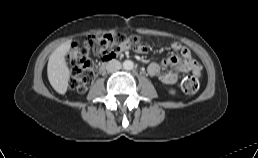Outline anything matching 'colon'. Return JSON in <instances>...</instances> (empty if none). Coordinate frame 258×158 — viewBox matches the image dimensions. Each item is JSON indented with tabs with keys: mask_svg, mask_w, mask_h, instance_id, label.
Returning a JSON list of instances; mask_svg holds the SVG:
<instances>
[{
	"mask_svg": "<svg viewBox=\"0 0 258 158\" xmlns=\"http://www.w3.org/2000/svg\"><path fill=\"white\" fill-rule=\"evenodd\" d=\"M139 44L138 36H127L121 33L89 35L83 45L74 44L66 56L72 69L71 88L79 93H84L92 83L94 63L89 55L90 51L104 60L114 57L122 49L136 48ZM199 86L200 83L196 76H188L181 81V88L187 94L196 93Z\"/></svg>",
	"mask_w": 258,
	"mask_h": 158,
	"instance_id": "obj_1",
	"label": "colon"
}]
</instances>
